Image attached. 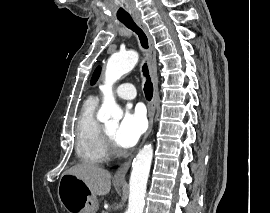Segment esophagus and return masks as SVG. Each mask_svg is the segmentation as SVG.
I'll list each match as a JSON object with an SVG mask.
<instances>
[{"label":"esophagus","mask_w":270,"mask_h":213,"mask_svg":"<svg viewBox=\"0 0 270 213\" xmlns=\"http://www.w3.org/2000/svg\"><path fill=\"white\" fill-rule=\"evenodd\" d=\"M134 21L144 31V33L146 34V36L148 38L149 48H148L147 60H148V65H149V69H150V74H151L153 86H154L152 102H151L149 109H148L149 126H148V129H147L144 137H143V141H142V144H143L152 130L153 118H154V114H155V107H156V102L158 100V95H159V87H158V75H157L156 49L154 47L153 38H152L151 34L149 33L147 25L142 21V19L140 17H138V16L134 17ZM133 156L134 155L130 156L126 161H124L120 165V167L118 168V170L114 174V177H113L114 182H121V183L125 182V177H126V174L130 168Z\"/></svg>","instance_id":"esophagus-1"}]
</instances>
